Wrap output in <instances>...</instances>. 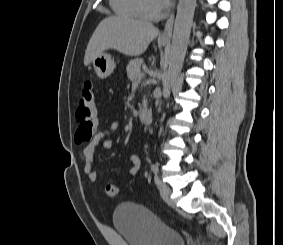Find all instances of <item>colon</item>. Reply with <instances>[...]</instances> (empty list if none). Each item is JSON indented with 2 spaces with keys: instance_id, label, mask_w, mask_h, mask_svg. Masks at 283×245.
Wrapping results in <instances>:
<instances>
[{
  "instance_id": "obj_1",
  "label": "colon",
  "mask_w": 283,
  "mask_h": 245,
  "mask_svg": "<svg viewBox=\"0 0 283 245\" xmlns=\"http://www.w3.org/2000/svg\"><path fill=\"white\" fill-rule=\"evenodd\" d=\"M76 120L78 122V128L75 133V141L77 143L90 141L96 126L94 85L90 81L85 82L82 86L79 106L76 111ZM106 193L112 198L120 195L119 189L114 184L107 186Z\"/></svg>"
}]
</instances>
